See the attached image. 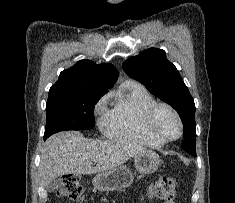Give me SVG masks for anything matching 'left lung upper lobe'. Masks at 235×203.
Returning <instances> with one entry per match:
<instances>
[{"mask_svg":"<svg viewBox=\"0 0 235 203\" xmlns=\"http://www.w3.org/2000/svg\"><path fill=\"white\" fill-rule=\"evenodd\" d=\"M122 67L128 76L145 85L153 95L171 105L178 112L183 123V130L191 131L192 134L188 145L189 150L185 151L196 156L194 100L176 67L167 60L165 51L149 48L127 59Z\"/></svg>","mask_w":235,"mask_h":203,"instance_id":"left-lung-upper-lobe-1","label":"left lung upper lobe"}]
</instances>
